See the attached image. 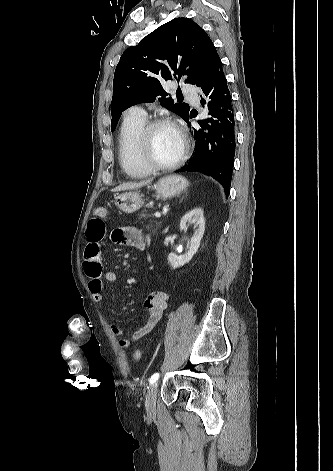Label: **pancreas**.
I'll use <instances>...</instances> for the list:
<instances>
[{"instance_id": "cf45deb5", "label": "pancreas", "mask_w": 333, "mask_h": 471, "mask_svg": "<svg viewBox=\"0 0 333 471\" xmlns=\"http://www.w3.org/2000/svg\"><path fill=\"white\" fill-rule=\"evenodd\" d=\"M146 207L149 209V208H150V205L147 204ZM151 217H152V215H150V214L147 213V209H145V210H144L143 212H141L140 215H139V218H140V219H145V220H147V219H149V218H151ZM159 226H160V223H158V222H156V221H152V220H150V221L148 222V224L146 225L147 229H148V230H152V232H156V230L159 228Z\"/></svg>"}]
</instances>
